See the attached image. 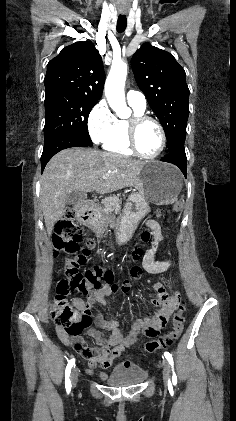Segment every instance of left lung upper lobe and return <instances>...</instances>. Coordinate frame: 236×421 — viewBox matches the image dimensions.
<instances>
[{
    "label": "left lung upper lobe",
    "instance_id": "5c2ea615",
    "mask_svg": "<svg viewBox=\"0 0 236 421\" xmlns=\"http://www.w3.org/2000/svg\"><path fill=\"white\" fill-rule=\"evenodd\" d=\"M140 90L159 118L168 151L184 147L189 115V89L184 69L173 55L144 43L131 59Z\"/></svg>",
    "mask_w": 236,
    "mask_h": 421
}]
</instances>
